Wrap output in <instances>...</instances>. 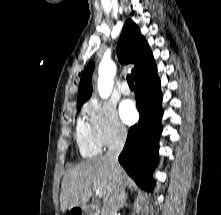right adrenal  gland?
Masks as SVG:
<instances>
[{"label": "right adrenal gland", "instance_id": "2a0ac1e0", "mask_svg": "<svg viewBox=\"0 0 221 215\" xmlns=\"http://www.w3.org/2000/svg\"><path fill=\"white\" fill-rule=\"evenodd\" d=\"M126 199H127V194L125 195V199H124V202L122 203V207L127 206V204L125 203Z\"/></svg>", "mask_w": 221, "mask_h": 215}]
</instances>
